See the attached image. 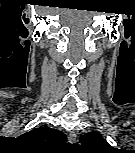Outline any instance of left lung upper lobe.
<instances>
[{"label": "left lung upper lobe", "instance_id": "left-lung-upper-lobe-1", "mask_svg": "<svg viewBox=\"0 0 135 153\" xmlns=\"http://www.w3.org/2000/svg\"><path fill=\"white\" fill-rule=\"evenodd\" d=\"M80 141L84 147L98 153L108 152L113 149V147L96 132H90L81 136Z\"/></svg>", "mask_w": 135, "mask_h": 153}]
</instances>
